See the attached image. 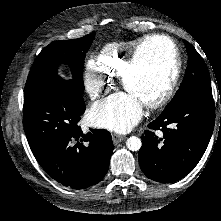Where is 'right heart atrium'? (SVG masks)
<instances>
[{
	"label": "right heart atrium",
	"mask_w": 221,
	"mask_h": 221,
	"mask_svg": "<svg viewBox=\"0 0 221 221\" xmlns=\"http://www.w3.org/2000/svg\"><path fill=\"white\" fill-rule=\"evenodd\" d=\"M84 77L87 92L93 100L103 97L111 88L109 78L94 62L87 63Z\"/></svg>",
	"instance_id": "right-heart-atrium-1"
}]
</instances>
